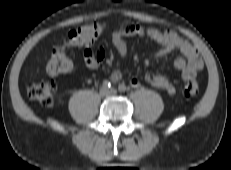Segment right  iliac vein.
Segmentation results:
<instances>
[{"label": "right iliac vein", "instance_id": "right-iliac-vein-1", "mask_svg": "<svg viewBox=\"0 0 231 170\" xmlns=\"http://www.w3.org/2000/svg\"><path fill=\"white\" fill-rule=\"evenodd\" d=\"M107 93H108V90L106 89V88H101V90H100V95L101 96H105V95H107Z\"/></svg>", "mask_w": 231, "mask_h": 170}]
</instances>
